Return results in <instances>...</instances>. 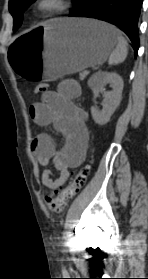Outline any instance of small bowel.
I'll return each mask as SVG.
<instances>
[{
	"mask_svg": "<svg viewBox=\"0 0 148 279\" xmlns=\"http://www.w3.org/2000/svg\"><path fill=\"white\" fill-rule=\"evenodd\" d=\"M80 92V85L75 80H64L55 91L44 93L41 101L30 106V116L37 125H52L64 137V145L60 149L47 133L38 134L31 144L37 163L43 167L52 164L59 172L54 178L51 169L42 171L40 180L48 189L63 186L69 178V168L77 167L86 155L89 139L87 114L74 103Z\"/></svg>",
	"mask_w": 148,
	"mask_h": 279,
	"instance_id": "obj_1",
	"label": "small bowel"
}]
</instances>
